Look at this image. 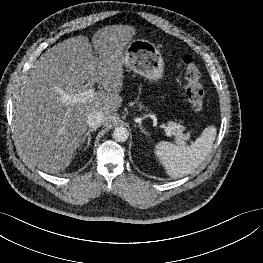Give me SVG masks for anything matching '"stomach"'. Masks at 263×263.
Wrapping results in <instances>:
<instances>
[{"instance_id":"stomach-1","label":"stomach","mask_w":263,"mask_h":263,"mask_svg":"<svg viewBox=\"0 0 263 263\" xmlns=\"http://www.w3.org/2000/svg\"><path fill=\"white\" fill-rule=\"evenodd\" d=\"M124 65L135 73L158 83L164 75V61L159 49L144 39L130 41L123 53ZM158 103L164 96H160Z\"/></svg>"}]
</instances>
